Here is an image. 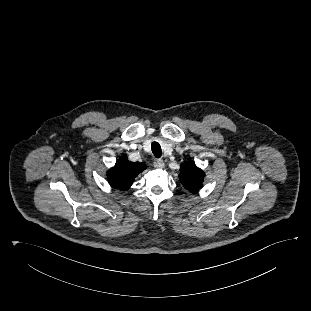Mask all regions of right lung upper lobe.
<instances>
[{
	"label": "right lung upper lobe",
	"mask_w": 311,
	"mask_h": 311,
	"mask_svg": "<svg viewBox=\"0 0 311 311\" xmlns=\"http://www.w3.org/2000/svg\"><path fill=\"white\" fill-rule=\"evenodd\" d=\"M145 169L146 165L144 163L130 162L127 156L124 155L108 171L107 178L112 187L120 190H128L138 174Z\"/></svg>",
	"instance_id": "obj_1"
}]
</instances>
